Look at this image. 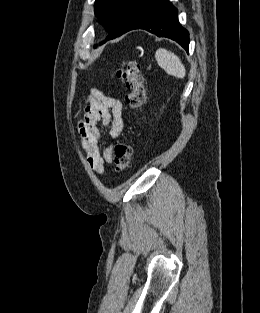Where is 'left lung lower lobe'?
<instances>
[{
	"label": "left lung lower lobe",
	"mask_w": 260,
	"mask_h": 313,
	"mask_svg": "<svg viewBox=\"0 0 260 313\" xmlns=\"http://www.w3.org/2000/svg\"><path fill=\"white\" fill-rule=\"evenodd\" d=\"M177 12L168 0H154L123 34L134 29H145L159 37H167L178 42L188 52L189 33L178 22Z\"/></svg>",
	"instance_id": "obj_1"
}]
</instances>
